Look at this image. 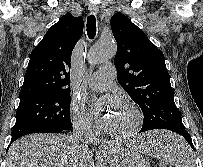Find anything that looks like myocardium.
Listing matches in <instances>:
<instances>
[{
	"label": "myocardium",
	"mask_w": 203,
	"mask_h": 167,
	"mask_svg": "<svg viewBox=\"0 0 203 167\" xmlns=\"http://www.w3.org/2000/svg\"><path fill=\"white\" fill-rule=\"evenodd\" d=\"M134 117L133 125L130 129L124 132H113L106 130L107 134L118 140H126L134 136L140 129L143 122V115L141 111L134 105L126 103L124 106Z\"/></svg>",
	"instance_id": "obj_1"
}]
</instances>
